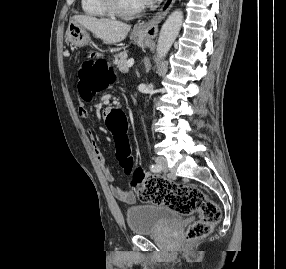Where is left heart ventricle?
<instances>
[{
    "label": "left heart ventricle",
    "instance_id": "obj_1",
    "mask_svg": "<svg viewBox=\"0 0 286 269\" xmlns=\"http://www.w3.org/2000/svg\"><path fill=\"white\" fill-rule=\"evenodd\" d=\"M119 6L126 11H131L143 6L141 0H117Z\"/></svg>",
    "mask_w": 286,
    "mask_h": 269
}]
</instances>
